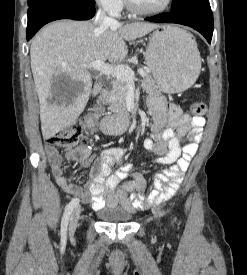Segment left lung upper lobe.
Returning a JSON list of instances; mask_svg holds the SVG:
<instances>
[{
  "label": "left lung upper lobe",
  "instance_id": "left-lung-upper-lobe-1",
  "mask_svg": "<svg viewBox=\"0 0 247 275\" xmlns=\"http://www.w3.org/2000/svg\"><path fill=\"white\" fill-rule=\"evenodd\" d=\"M203 3H209V0H173L171 11H177L193 5Z\"/></svg>",
  "mask_w": 247,
  "mask_h": 275
}]
</instances>
